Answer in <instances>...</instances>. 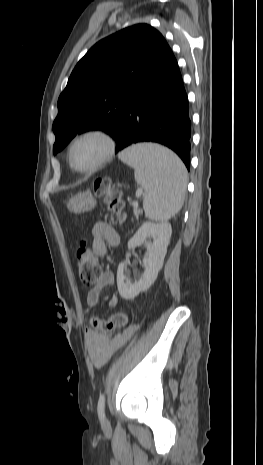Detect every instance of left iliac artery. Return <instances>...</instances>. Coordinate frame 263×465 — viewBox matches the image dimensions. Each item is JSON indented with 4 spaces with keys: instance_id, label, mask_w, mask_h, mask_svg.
Masks as SVG:
<instances>
[{
    "instance_id": "left-iliac-artery-1",
    "label": "left iliac artery",
    "mask_w": 263,
    "mask_h": 465,
    "mask_svg": "<svg viewBox=\"0 0 263 465\" xmlns=\"http://www.w3.org/2000/svg\"><path fill=\"white\" fill-rule=\"evenodd\" d=\"M104 408H105V395L101 394L99 397L98 406H97L98 416L100 420H104Z\"/></svg>"
}]
</instances>
